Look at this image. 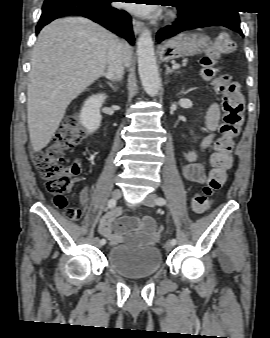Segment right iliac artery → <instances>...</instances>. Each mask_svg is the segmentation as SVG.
<instances>
[{"label": "right iliac artery", "mask_w": 270, "mask_h": 338, "mask_svg": "<svg viewBox=\"0 0 270 338\" xmlns=\"http://www.w3.org/2000/svg\"><path fill=\"white\" fill-rule=\"evenodd\" d=\"M115 205H116V199H110L109 201H108V207L109 208H113V207H115ZM106 243V240L105 239H101L100 240V244L101 245H104Z\"/></svg>", "instance_id": "1"}]
</instances>
